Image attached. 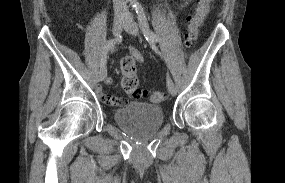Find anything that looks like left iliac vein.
Wrapping results in <instances>:
<instances>
[{"label": "left iliac vein", "instance_id": "4c4485c4", "mask_svg": "<svg viewBox=\"0 0 285 183\" xmlns=\"http://www.w3.org/2000/svg\"><path fill=\"white\" fill-rule=\"evenodd\" d=\"M124 29L131 35L137 36L138 35V26L136 22L132 19V17H128L124 24ZM167 86L170 94L175 96L177 93V88L174 82L171 79H168Z\"/></svg>", "mask_w": 285, "mask_h": 183}]
</instances>
